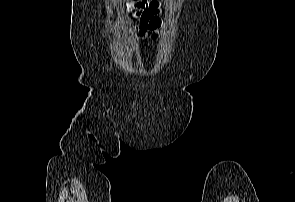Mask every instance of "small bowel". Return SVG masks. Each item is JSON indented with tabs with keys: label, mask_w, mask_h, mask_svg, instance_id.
I'll use <instances>...</instances> for the list:
<instances>
[{
	"label": "small bowel",
	"mask_w": 295,
	"mask_h": 202,
	"mask_svg": "<svg viewBox=\"0 0 295 202\" xmlns=\"http://www.w3.org/2000/svg\"><path fill=\"white\" fill-rule=\"evenodd\" d=\"M139 20L133 28L135 37L148 38L152 45L159 40L158 31L162 26L161 6L158 0H139L134 6Z\"/></svg>",
	"instance_id": "small-bowel-1"
}]
</instances>
